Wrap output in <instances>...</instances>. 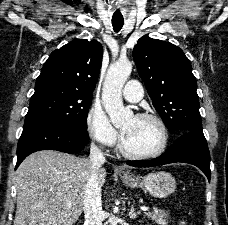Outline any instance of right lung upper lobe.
<instances>
[{
  "mask_svg": "<svg viewBox=\"0 0 228 225\" xmlns=\"http://www.w3.org/2000/svg\"><path fill=\"white\" fill-rule=\"evenodd\" d=\"M101 62L102 46L98 41L76 39L51 53L36 79V86L60 84L92 94Z\"/></svg>",
  "mask_w": 228,
  "mask_h": 225,
  "instance_id": "1",
  "label": "right lung upper lobe"
}]
</instances>
